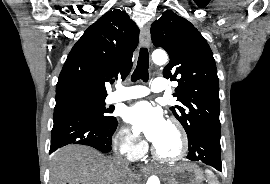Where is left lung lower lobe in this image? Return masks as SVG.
Returning <instances> with one entry per match:
<instances>
[{"label": "left lung lower lobe", "mask_w": 270, "mask_h": 184, "mask_svg": "<svg viewBox=\"0 0 270 184\" xmlns=\"http://www.w3.org/2000/svg\"><path fill=\"white\" fill-rule=\"evenodd\" d=\"M187 158L192 161H201L222 171L220 135L208 132L198 133L189 142Z\"/></svg>", "instance_id": "1"}]
</instances>
